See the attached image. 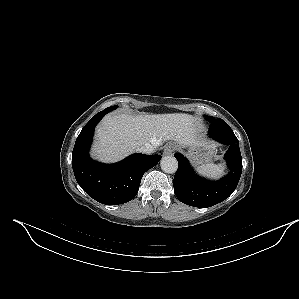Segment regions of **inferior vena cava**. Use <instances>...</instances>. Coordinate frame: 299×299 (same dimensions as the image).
I'll use <instances>...</instances> for the list:
<instances>
[{
	"mask_svg": "<svg viewBox=\"0 0 299 299\" xmlns=\"http://www.w3.org/2000/svg\"><path fill=\"white\" fill-rule=\"evenodd\" d=\"M155 148L151 144H146L144 146H141L138 151L143 154H152L154 152Z\"/></svg>",
	"mask_w": 299,
	"mask_h": 299,
	"instance_id": "obj_1",
	"label": "inferior vena cava"
}]
</instances>
